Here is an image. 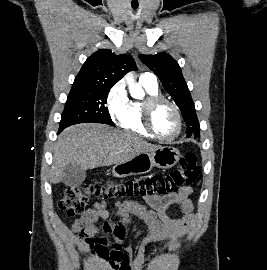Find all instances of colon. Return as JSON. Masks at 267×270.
I'll return each instance as SVG.
<instances>
[{
  "label": "colon",
  "instance_id": "1",
  "mask_svg": "<svg viewBox=\"0 0 267 270\" xmlns=\"http://www.w3.org/2000/svg\"><path fill=\"white\" fill-rule=\"evenodd\" d=\"M199 166L194 153H186L179 164L166 176L155 175L144 179L125 181H111L106 184L87 183L81 186L67 187L59 201V208L68 215L85 214L88 200L95 196L101 199H113L120 197H154L179 192L190 187L199 176ZM87 248L102 258L107 257V250L102 244L100 237L80 234ZM111 269L127 270V258L119 255L112 259Z\"/></svg>",
  "mask_w": 267,
  "mask_h": 270
}]
</instances>
